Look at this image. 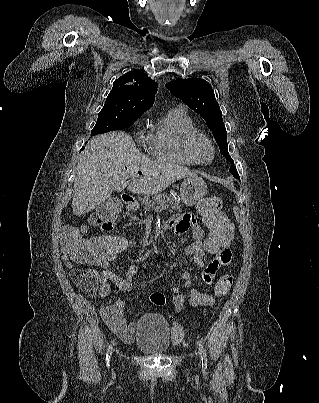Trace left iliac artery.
Returning a JSON list of instances; mask_svg holds the SVG:
<instances>
[{"instance_id":"obj_1","label":"left iliac artery","mask_w":319,"mask_h":403,"mask_svg":"<svg viewBox=\"0 0 319 403\" xmlns=\"http://www.w3.org/2000/svg\"><path fill=\"white\" fill-rule=\"evenodd\" d=\"M199 350H200V356H201V361H202V368L206 369L207 368V354L206 350L203 347L201 343H199Z\"/></svg>"}]
</instances>
